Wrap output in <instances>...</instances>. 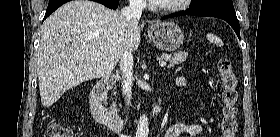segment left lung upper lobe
<instances>
[{
    "label": "left lung upper lobe",
    "mask_w": 280,
    "mask_h": 137,
    "mask_svg": "<svg viewBox=\"0 0 280 137\" xmlns=\"http://www.w3.org/2000/svg\"><path fill=\"white\" fill-rule=\"evenodd\" d=\"M220 8L235 11L232 0H196L190 9Z\"/></svg>",
    "instance_id": "5c2ea615"
}]
</instances>
